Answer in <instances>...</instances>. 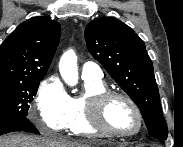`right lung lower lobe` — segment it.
<instances>
[{"label": "right lung lower lobe", "instance_id": "right-lung-lower-lobe-1", "mask_svg": "<svg viewBox=\"0 0 183 147\" xmlns=\"http://www.w3.org/2000/svg\"><path fill=\"white\" fill-rule=\"evenodd\" d=\"M15 131H26L39 134L27 117H12L0 120V135Z\"/></svg>", "mask_w": 183, "mask_h": 147}]
</instances>
